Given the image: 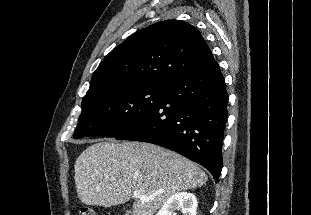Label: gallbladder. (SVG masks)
I'll use <instances>...</instances> for the list:
<instances>
[{
	"instance_id": "obj_1",
	"label": "gallbladder",
	"mask_w": 311,
	"mask_h": 215,
	"mask_svg": "<svg viewBox=\"0 0 311 215\" xmlns=\"http://www.w3.org/2000/svg\"><path fill=\"white\" fill-rule=\"evenodd\" d=\"M130 214V211L129 210H126V215H129Z\"/></svg>"
}]
</instances>
